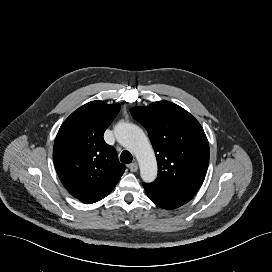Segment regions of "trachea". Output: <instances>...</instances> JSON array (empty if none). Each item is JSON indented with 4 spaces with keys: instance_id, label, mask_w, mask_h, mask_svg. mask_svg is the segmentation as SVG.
<instances>
[{
    "instance_id": "obj_1",
    "label": "trachea",
    "mask_w": 272,
    "mask_h": 272,
    "mask_svg": "<svg viewBox=\"0 0 272 272\" xmlns=\"http://www.w3.org/2000/svg\"><path fill=\"white\" fill-rule=\"evenodd\" d=\"M120 160L122 163L129 164L132 162L133 157L129 151L124 150L120 155Z\"/></svg>"
}]
</instances>
